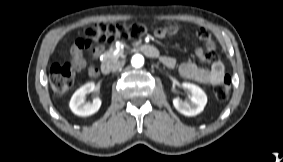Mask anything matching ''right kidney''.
Masks as SVG:
<instances>
[{"label":"right kidney","instance_id":"1","mask_svg":"<svg viewBox=\"0 0 283 162\" xmlns=\"http://www.w3.org/2000/svg\"><path fill=\"white\" fill-rule=\"evenodd\" d=\"M94 90L95 83L88 82L73 94L69 106L74 114L78 116H89L99 110L101 106V100L99 98L93 99V102H86L85 96Z\"/></svg>","mask_w":283,"mask_h":162}]
</instances>
